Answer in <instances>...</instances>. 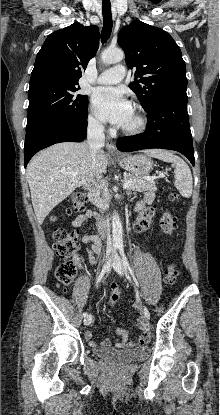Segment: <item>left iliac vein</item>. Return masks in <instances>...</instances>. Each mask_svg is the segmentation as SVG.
<instances>
[{
	"label": "left iliac vein",
	"mask_w": 220,
	"mask_h": 415,
	"mask_svg": "<svg viewBox=\"0 0 220 415\" xmlns=\"http://www.w3.org/2000/svg\"><path fill=\"white\" fill-rule=\"evenodd\" d=\"M112 266H113L114 270H115V271H116L119 275L127 277V270H126V268L124 267V265L122 264L121 258H120V256H119L117 253H115V254H114ZM143 307H144V308H143V309H144V311H145V310H148L145 306H143ZM148 311H149V310H148ZM145 318H146V320H147V319H149L150 317L145 316Z\"/></svg>",
	"instance_id": "left-iliac-vein-1"
}]
</instances>
